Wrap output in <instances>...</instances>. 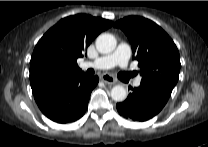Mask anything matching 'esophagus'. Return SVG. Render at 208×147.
Here are the masks:
<instances>
[{
	"label": "esophagus",
	"instance_id": "obj_1",
	"mask_svg": "<svg viewBox=\"0 0 208 147\" xmlns=\"http://www.w3.org/2000/svg\"><path fill=\"white\" fill-rule=\"evenodd\" d=\"M101 80L107 85H114L117 83V80L109 74H103Z\"/></svg>",
	"mask_w": 208,
	"mask_h": 147
}]
</instances>
